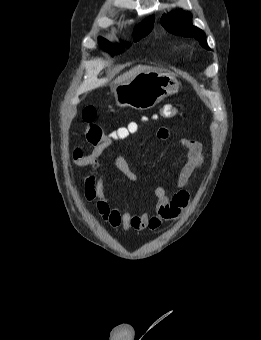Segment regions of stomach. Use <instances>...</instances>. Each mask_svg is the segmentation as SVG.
<instances>
[{
    "mask_svg": "<svg viewBox=\"0 0 261 340\" xmlns=\"http://www.w3.org/2000/svg\"><path fill=\"white\" fill-rule=\"evenodd\" d=\"M178 89L179 82L173 74L150 70L115 85L113 92L118 107L128 106L136 110H147L165 97L175 94Z\"/></svg>",
    "mask_w": 261,
    "mask_h": 340,
    "instance_id": "stomach-1",
    "label": "stomach"
}]
</instances>
